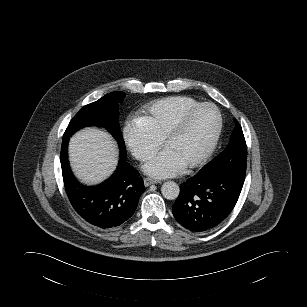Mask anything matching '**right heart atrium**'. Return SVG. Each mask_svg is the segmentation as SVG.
<instances>
[{
	"mask_svg": "<svg viewBox=\"0 0 307 307\" xmlns=\"http://www.w3.org/2000/svg\"><path fill=\"white\" fill-rule=\"evenodd\" d=\"M123 136L131 154L143 162L149 160L160 145V139L141 116H134L126 121Z\"/></svg>",
	"mask_w": 307,
	"mask_h": 307,
	"instance_id": "obj_1",
	"label": "right heart atrium"
}]
</instances>
